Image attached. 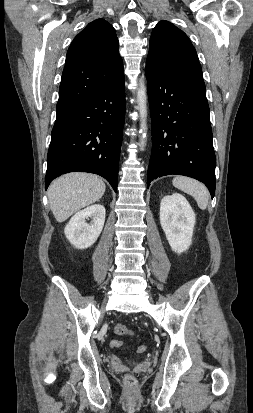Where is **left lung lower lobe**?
I'll return each mask as SVG.
<instances>
[{
  "instance_id": "left-lung-lower-lobe-1",
  "label": "left lung lower lobe",
  "mask_w": 253,
  "mask_h": 413,
  "mask_svg": "<svg viewBox=\"0 0 253 413\" xmlns=\"http://www.w3.org/2000/svg\"><path fill=\"white\" fill-rule=\"evenodd\" d=\"M145 74L152 122L148 183L170 174L189 176L203 182L213 197L216 157L206 96L150 61Z\"/></svg>"
}]
</instances>
